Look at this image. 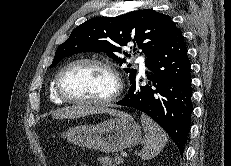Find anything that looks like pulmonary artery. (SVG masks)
I'll return each instance as SVG.
<instances>
[{"label": "pulmonary artery", "instance_id": "obj_1", "mask_svg": "<svg viewBox=\"0 0 231 166\" xmlns=\"http://www.w3.org/2000/svg\"><path fill=\"white\" fill-rule=\"evenodd\" d=\"M138 62L140 63L141 70H144V68H145L144 59L143 58H139Z\"/></svg>", "mask_w": 231, "mask_h": 166}]
</instances>
